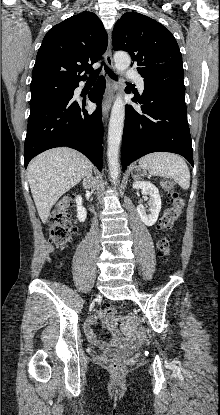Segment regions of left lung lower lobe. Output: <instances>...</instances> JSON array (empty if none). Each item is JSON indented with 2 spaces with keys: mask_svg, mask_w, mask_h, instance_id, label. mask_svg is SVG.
Segmentation results:
<instances>
[{
  "mask_svg": "<svg viewBox=\"0 0 220 415\" xmlns=\"http://www.w3.org/2000/svg\"><path fill=\"white\" fill-rule=\"evenodd\" d=\"M144 78L142 96L132 101L143 104L141 111L126 105L122 138V170L152 152H172L193 166L190 130L187 122L183 79L163 76ZM130 93V90L126 91Z\"/></svg>",
  "mask_w": 220,
  "mask_h": 415,
  "instance_id": "obj_1",
  "label": "left lung lower lobe"
}]
</instances>
